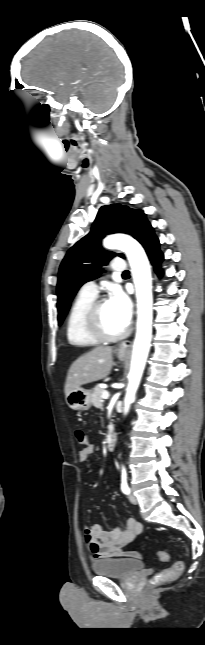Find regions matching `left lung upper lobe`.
I'll use <instances>...</instances> for the list:
<instances>
[{
  "instance_id": "left-lung-upper-lobe-1",
  "label": "left lung upper lobe",
  "mask_w": 205,
  "mask_h": 645,
  "mask_svg": "<svg viewBox=\"0 0 205 645\" xmlns=\"http://www.w3.org/2000/svg\"><path fill=\"white\" fill-rule=\"evenodd\" d=\"M150 227L142 210L120 204L99 209L91 231L69 249L60 265L57 284L59 325L78 289L87 281L97 278L101 267L116 255L101 247V239L107 234L125 233L140 242ZM119 256L123 257V254Z\"/></svg>"
}]
</instances>
